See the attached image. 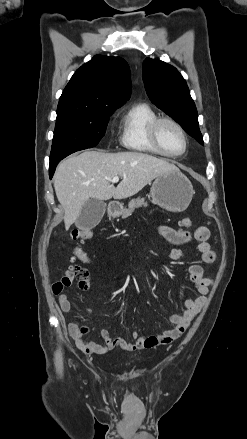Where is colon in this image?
Wrapping results in <instances>:
<instances>
[{"label": "colon", "mask_w": 247, "mask_h": 439, "mask_svg": "<svg viewBox=\"0 0 247 439\" xmlns=\"http://www.w3.org/2000/svg\"><path fill=\"white\" fill-rule=\"evenodd\" d=\"M191 224L192 222L190 219L188 218L182 219L180 222L181 225L180 230L189 228ZM91 238H92V232L89 229L77 228L71 232L70 239L73 243V253L83 263H89L90 259L87 256V254L79 247V245L89 241ZM71 261L73 262V264L71 265V271L73 275L76 277V279L78 280L79 287L84 290L88 289L89 271L86 268L78 264H75L74 257L71 259Z\"/></svg>", "instance_id": "1"}]
</instances>
